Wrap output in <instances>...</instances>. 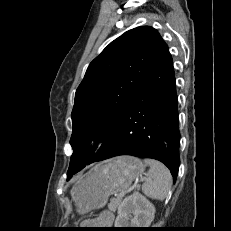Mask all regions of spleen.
Here are the masks:
<instances>
[{
	"label": "spleen",
	"mask_w": 231,
	"mask_h": 231,
	"mask_svg": "<svg viewBox=\"0 0 231 231\" xmlns=\"http://www.w3.org/2000/svg\"><path fill=\"white\" fill-rule=\"evenodd\" d=\"M150 166L147 179L142 185V192L149 198L164 200L171 188L172 176L168 168L161 162L153 159H145Z\"/></svg>",
	"instance_id": "3e777b00"
}]
</instances>
